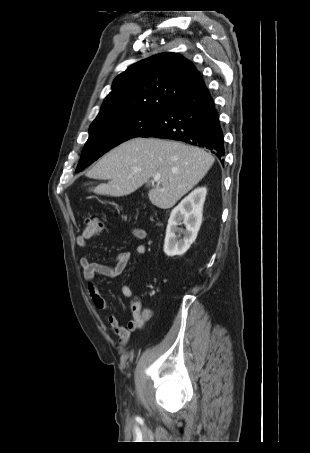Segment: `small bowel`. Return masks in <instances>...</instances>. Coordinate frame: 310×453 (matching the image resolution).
Returning <instances> with one entry per match:
<instances>
[{
  "instance_id": "1",
  "label": "small bowel",
  "mask_w": 310,
  "mask_h": 453,
  "mask_svg": "<svg viewBox=\"0 0 310 453\" xmlns=\"http://www.w3.org/2000/svg\"><path fill=\"white\" fill-rule=\"evenodd\" d=\"M131 234L138 240H145L147 233L144 229L134 227L131 230ZM90 238L84 236L82 233L76 238V244L80 248H86ZM147 252L145 244H139L136 248V254L141 256ZM131 258L129 252H120L115 258L114 265H105L95 261H92L88 257H82L80 259V266L82 269V275L87 285V291L89 298L93 305L102 311L108 310L109 306L106 300L103 298L95 284V276L102 275L105 277L115 278L120 276L126 269ZM121 293L127 299L133 298V292L127 284L121 286ZM131 319L127 322L126 326L121 325L119 319L114 314H109L107 321L114 332L119 338V345L121 347L126 346L129 341L130 334L142 328L145 322L149 318V311L143 309L139 300L135 299L131 304Z\"/></svg>"
}]
</instances>
